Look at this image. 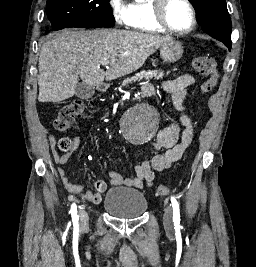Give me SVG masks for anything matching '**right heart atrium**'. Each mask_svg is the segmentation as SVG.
<instances>
[{"label":"right heart atrium","instance_id":"1","mask_svg":"<svg viewBox=\"0 0 256 267\" xmlns=\"http://www.w3.org/2000/svg\"><path fill=\"white\" fill-rule=\"evenodd\" d=\"M115 22H121L124 28L131 27V16L128 13H120L115 14Z\"/></svg>","mask_w":256,"mask_h":267}]
</instances>
